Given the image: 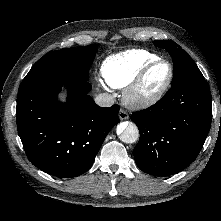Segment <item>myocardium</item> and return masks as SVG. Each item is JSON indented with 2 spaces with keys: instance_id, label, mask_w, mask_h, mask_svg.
I'll use <instances>...</instances> for the list:
<instances>
[{
  "instance_id": "myocardium-1",
  "label": "myocardium",
  "mask_w": 221,
  "mask_h": 221,
  "mask_svg": "<svg viewBox=\"0 0 221 221\" xmlns=\"http://www.w3.org/2000/svg\"><path fill=\"white\" fill-rule=\"evenodd\" d=\"M164 63L168 67V75L165 82L154 92L145 93L143 84L150 71L158 64ZM173 66L166 59L158 58L145 65L124 92L125 103L133 108H147L156 104L168 91L173 80Z\"/></svg>"
}]
</instances>
